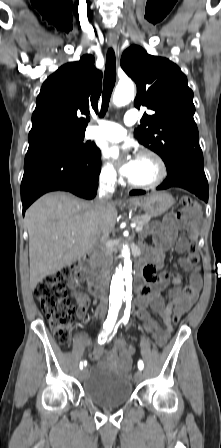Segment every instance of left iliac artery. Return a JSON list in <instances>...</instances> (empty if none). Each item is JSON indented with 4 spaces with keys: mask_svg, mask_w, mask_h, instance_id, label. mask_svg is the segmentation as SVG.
I'll use <instances>...</instances> for the list:
<instances>
[{
    "mask_svg": "<svg viewBox=\"0 0 221 448\" xmlns=\"http://www.w3.org/2000/svg\"><path fill=\"white\" fill-rule=\"evenodd\" d=\"M129 320V314L124 313V316L122 317L121 321L126 324ZM138 368L139 370H142L144 368V364L143 361L139 360L138 361Z\"/></svg>",
    "mask_w": 221,
    "mask_h": 448,
    "instance_id": "44dca946",
    "label": "left iliac artery"
}]
</instances>
